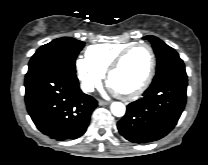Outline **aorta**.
Here are the masks:
<instances>
[{
    "instance_id": "762f6f07",
    "label": "aorta",
    "mask_w": 208,
    "mask_h": 165,
    "mask_svg": "<svg viewBox=\"0 0 208 165\" xmlns=\"http://www.w3.org/2000/svg\"><path fill=\"white\" fill-rule=\"evenodd\" d=\"M125 105L121 102H113L111 104V112L116 117H122L125 114Z\"/></svg>"
}]
</instances>
